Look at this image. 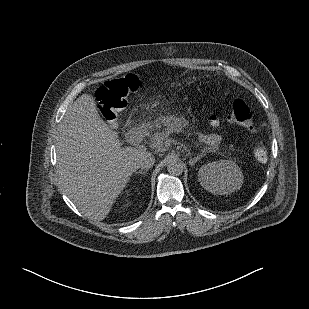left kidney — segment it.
<instances>
[{"mask_svg":"<svg viewBox=\"0 0 309 309\" xmlns=\"http://www.w3.org/2000/svg\"><path fill=\"white\" fill-rule=\"evenodd\" d=\"M243 174L239 166L231 160L209 162L200 167L198 181L208 192L228 195L241 188Z\"/></svg>","mask_w":309,"mask_h":309,"instance_id":"5707ae66","label":"left kidney"}]
</instances>
